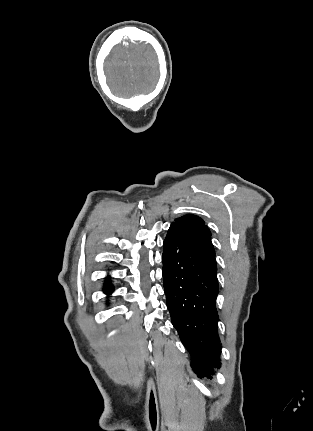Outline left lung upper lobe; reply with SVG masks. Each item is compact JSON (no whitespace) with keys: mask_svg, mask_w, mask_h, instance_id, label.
<instances>
[{"mask_svg":"<svg viewBox=\"0 0 313 431\" xmlns=\"http://www.w3.org/2000/svg\"><path fill=\"white\" fill-rule=\"evenodd\" d=\"M170 227L179 229L187 237L204 246L215 255V250L211 242V232L200 217L187 214L175 219Z\"/></svg>","mask_w":313,"mask_h":431,"instance_id":"1","label":"left lung upper lobe"}]
</instances>
